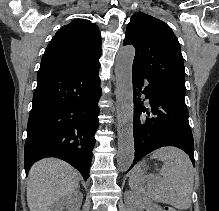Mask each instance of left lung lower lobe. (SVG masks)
Listing matches in <instances>:
<instances>
[{"mask_svg":"<svg viewBox=\"0 0 219 211\" xmlns=\"http://www.w3.org/2000/svg\"><path fill=\"white\" fill-rule=\"evenodd\" d=\"M132 77L135 158L130 168L148 153L165 146L182 149L194 164V141L185 99L138 70L132 69ZM144 83L146 87L142 88ZM142 95L145 99L140 98ZM142 113L147 116H142Z\"/></svg>","mask_w":219,"mask_h":211,"instance_id":"0a47b994","label":"left lung lower lobe"}]
</instances>
